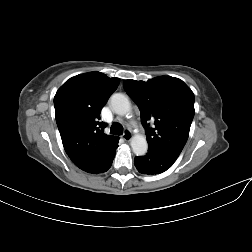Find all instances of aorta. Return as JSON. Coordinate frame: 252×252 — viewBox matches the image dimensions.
<instances>
[{"mask_svg": "<svg viewBox=\"0 0 252 252\" xmlns=\"http://www.w3.org/2000/svg\"><path fill=\"white\" fill-rule=\"evenodd\" d=\"M111 106L116 114L124 116L131 112V103L129 98L122 94L116 93L111 96ZM131 147L137 156H142L147 152L148 144L144 135H134L131 139Z\"/></svg>", "mask_w": 252, "mask_h": 252, "instance_id": "1", "label": "aorta"}]
</instances>
